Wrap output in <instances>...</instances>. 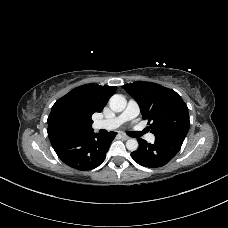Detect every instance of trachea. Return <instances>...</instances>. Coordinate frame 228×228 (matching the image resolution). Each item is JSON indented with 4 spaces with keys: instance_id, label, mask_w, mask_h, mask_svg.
Returning <instances> with one entry per match:
<instances>
[{
    "instance_id": "1",
    "label": "trachea",
    "mask_w": 228,
    "mask_h": 228,
    "mask_svg": "<svg viewBox=\"0 0 228 228\" xmlns=\"http://www.w3.org/2000/svg\"><path fill=\"white\" fill-rule=\"evenodd\" d=\"M146 132H147V130L145 129L142 132L130 131V132H127V134L131 137H140L141 135H143Z\"/></svg>"
}]
</instances>
